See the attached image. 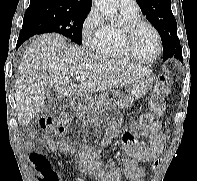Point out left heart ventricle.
Masks as SVG:
<instances>
[{"label":"left heart ventricle","instance_id":"b2bd125f","mask_svg":"<svg viewBox=\"0 0 197 181\" xmlns=\"http://www.w3.org/2000/svg\"><path fill=\"white\" fill-rule=\"evenodd\" d=\"M133 47L138 56L153 58L158 50L157 39L148 27H141L135 34Z\"/></svg>","mask_w":197,"mask_h":181}]
</instances>
